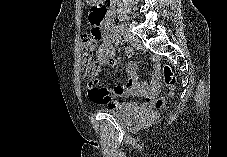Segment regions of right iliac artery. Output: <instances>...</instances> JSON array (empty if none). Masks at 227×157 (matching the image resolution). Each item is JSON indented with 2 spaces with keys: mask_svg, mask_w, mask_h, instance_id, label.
I'll list each match as a JSON object with an SVG mask.
<instances>
[{
  "mask_svg": "<svg viewBox=\"0 0 227 157\" xmlns=\"http://www.w3.org/2000/svg\"><path fill=\"white\" fill-rule=\"evenodd\" d=\"M116 32L117 31H119V29H118V27L116 28V30H115ZM113 35H114V37H115V39H116V41L119 43V42H121L122 44H123V47H125V49H126V52L127 53H130L131 52V49L129 48V42H127V38H126V36H119L118 34H116V33H113Z\"/></svg>",
  "mask_w": 227,
  "mask_h": 157,
  "instance_id": "right-iliac-artery-1",
  "label": "right iliac artery"
}]
</instances>
